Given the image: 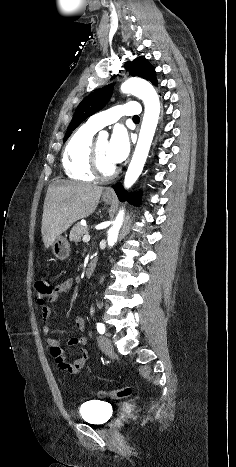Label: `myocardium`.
Returning <instances> with one entry per match:
<instances>
[{
  "mask_svg": "<svg viewBox=\"0 0 236 467\" xmlns=\"http://www.w3.org/2000/svg\"><path fill=\"white\" fill-rule=\"evenodd\" d=\"M90 170L95 177L103 180L113 178L118 172V168L115 165L109 171H105L102 168L96 142L92 143L90 150Z\"/></svg>",
  "mask_w": 236,
  "mask_h": 467,
  "instance_id": "f54148a6",
  "label": "myocardium"
}]
</instances>
